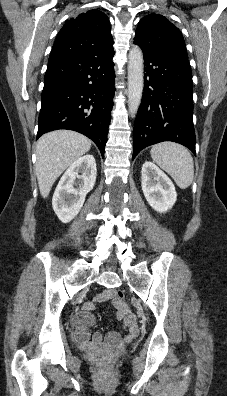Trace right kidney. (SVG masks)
I'll return each mask as SVG.
<instances>
[{"label":"right kidney","mask_w":227,"mask_h":396,"mask_svg":"<svg viewBox=\"0 0 227 396\" xmlns=\"http://www.w3.org/2000/svg\"><path fill=\"white\" fill-rule=\"evenodd\" d=\"M96 172L95 158L88 154L73 162L60 179L52 206L63 223L70 222L81 210L87 193L94 187Z\"/></svg>","instance_id":"1"}]
</instances>
